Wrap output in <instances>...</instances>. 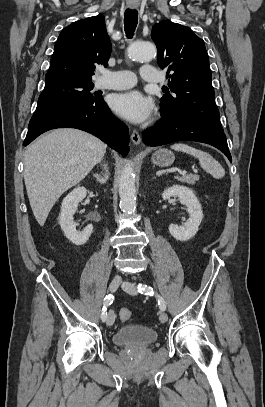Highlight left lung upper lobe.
Wrapping results in <instances>:
<instances>
[{
    "label": "left lung upper lobe",
    "instance_id": "5c2ea615",
    "mask_svg": "<svg viewBox=\"0 0 265 407\" xmlns=\"http://www.w3.org/2000/svg\"><path fill=\"white\" fill-rule=\"evenodd\" d=\"M151 37L158 50L157 63L167 69L170 79L161 98L162 118L188 117L223 129L204 41L189 27L171 21L155 24Z\"/></svg>",
    "mask_w": 265,
    "mask_h": 407
}]
</instances>
